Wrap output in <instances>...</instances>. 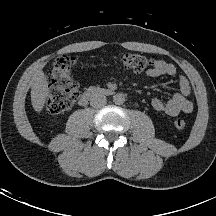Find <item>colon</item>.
Masks as SVG:
<instances>
[{
    "label": "colon",
    "instance_id": "obj_1",
    "mask_svg": "<svg viewBox=\"0 0 216 216\" xmlns=\"http://www.w3.org/2000/svg\"><path fill=\"white\" fill-rule=\"evenodd\" d=\"M75 58L71 55H61L53 63L49 73V80L54 85L49 92L45 104V111L50 114L65 112L74 105L78 94L79 85L72 77V68ZM116 65L120 68L141 72L152 68L155 60L138 53H123L116 58ZM185 117H178L174 126L178 130L186 127Z\"/></svg>",
    "mask_w": 216,
    "mask_h": 216
}]
</instances>
